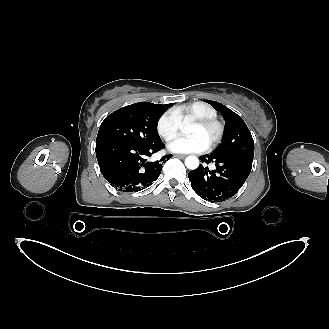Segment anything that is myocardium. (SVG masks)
Masks as SVG:
<instances>
[{
    "label": "myocardium",
    "mask_w": 329,
    "mask_h": 329,
    "mask_svg": "<svg viewBox=\"0 0 329 329\" xmlns=\"http://www.w3.org/2000/svg\"><path fill=\"white\" fill-rule=\"evenodd\" d=\"M192 124L201 126V127H213L216 130L214 139L208 145V150L215 149L222 141L225 134L224 124L217 118H197L192 120Z\"/></svg>",
    "instance_id": "f54148a6"
}]
</instances>
